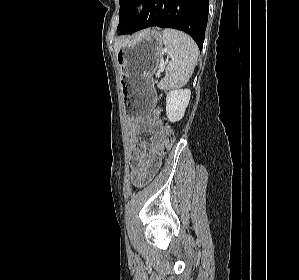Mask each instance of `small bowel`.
<instances>
[{
  "label": "small bowel",
  "mask_w": 299,
  "mask_h": 280,
  "mask_svg": "<svg viewBox=\"0 0 299 280\" xmlns=\"http://www.w3.org/2000/svg\"><path fill=\"white\" fill-rule=\"evenodd\" d=\"M129 128L132 149V180L136 184H142L150 179L160 167L165 144V131L160 124L149 120H131ZM142 132L153 134L150 142L139 140L138 135Z\"/></svg>",
  "instance_id": "c3829d8e"
}]
</instances>
